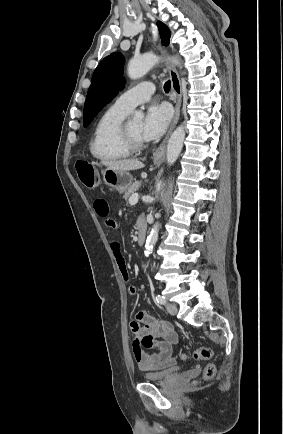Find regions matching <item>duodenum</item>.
I'll return each mask as SVG.
<instances>
[{
    "label": "duodenum",
    "instance_id": "duodenum-1",
    "mask_svg": "<svg viewBox=\"0 0 283 434\" xmlns=\"http://www.w3.org/2000/svg\"><path fill=\"white\" fill-rule=\"evenodd\" d=\"M147 227L143 220H139L137 223V242L139 245H143L146 239Z\"/></svg>",
    "mask_w": 283,
    "mask_h": 434
}]
</instances>
